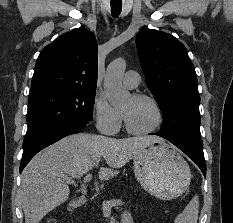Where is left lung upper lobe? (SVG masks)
I'll list each match as a JSON object with an SVG mask.
<instances>
[{
    "label": "left lung upper lobe",
    "mask_w": 233,
    "mask_h": 223,
    "mask_svg": "<svg viewBox=\"0 0 233 223\" xmlns=\"http://www.w3.org/2000/svg\"><path fill=\"white\" fill-rule=\"evenodd\" d=\"M136 46L146 84L163 114L162 135L200 138V95L185 46L172 35L142 29Z\"/></svg>",
    "instance_id": "1"
}]
</instances>
